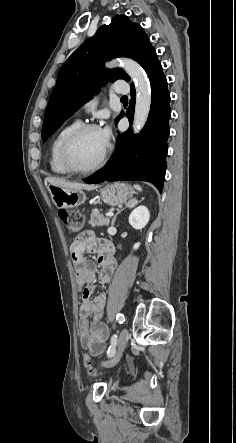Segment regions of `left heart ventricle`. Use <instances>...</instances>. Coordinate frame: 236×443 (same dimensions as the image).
Segmentation results:
<instances>
[{"label": "left heart ventricle", "mask_w": 236, "mask_h": 443, "mask_svg": "<svg viewBox=\"0 0 236 443\" xmlns=\"http://www.w3.org/2000/svg\"><path fill=\"white\" fill-rule=\"evenodd\" d=\"M106 146L100 130H88L73 143L71 161L78 168H90L98 162Z\"/></svg>", "instance_id": "b2bd125f"}]
</instances>
